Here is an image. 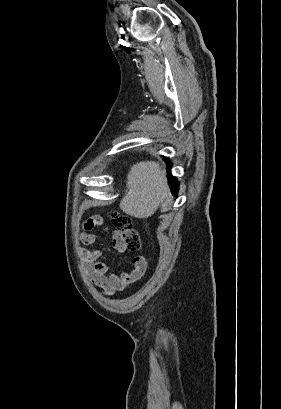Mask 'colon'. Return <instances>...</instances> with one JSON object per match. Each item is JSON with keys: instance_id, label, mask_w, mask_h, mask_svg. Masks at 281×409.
Returning a JSON list of instances; mask_svg holds the SVG:
<instances>
[{"instance_id": "colon-1", "label": "colon", "mask_w": 281, "mask_h": 409, "mask_svg": "<svg viewBox=\"0 0 281 409\" xmlns=\"http://www.w3.org/2000/svg\"><path fill=\"white\" fill-rule=\"evenodd\" d=\"M111 222L118 234L119 241L125 249H140V235L138 231L133 228L129 217L115 213L112 215Z\"/></svg>"}]
</instances>
